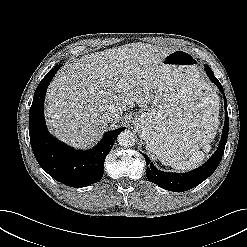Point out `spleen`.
<instances>
[{
	"mask_svg": "<svg viewBox=\"0 0 247 247\" xmlns=\"http://www.w3.org/2000/svg\"><path fill=\"white\" fill-rule=\"evenodd\" d=\"M209 142H205L203 149L204 152H209L211 150V146L209 145ZM202 151H196L194 152L190 157L188 161H177L172 164H170L174 169L180 170V171H188L192 170L199 165H201L205 159V154ZM165 165V164H164Z\"/></svg>",
	"mask_w": 247,
	"mask_h": 247,
	"instance_id": "spleen-1",
	"label": "spleen"
}]
</instances>
